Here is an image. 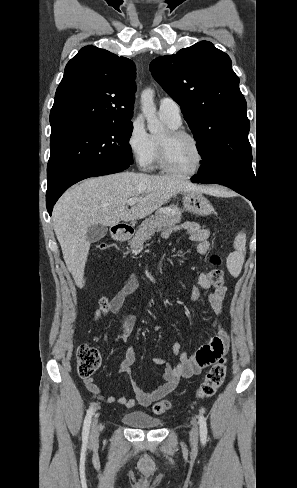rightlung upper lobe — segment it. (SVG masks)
Wrapping results in <instances>:
<instances>
[{
  "mask_svg": "<svg viewBox=\"0 0 297 488\" xmlns=\"http://www.w3.org/2000/svg\"><path fill=\"white\" fill-rule=\"evenodd\" d=\"M132 60L94 46L66 65L50 112L51 135L69 128L131 122L136 85Z\"/></svg>",
  "mask_w": 297,
  "mask_h": 488,
  "instance_id": "obj_1",
  "label": "right lung upper lobe"
}]
</instances>
